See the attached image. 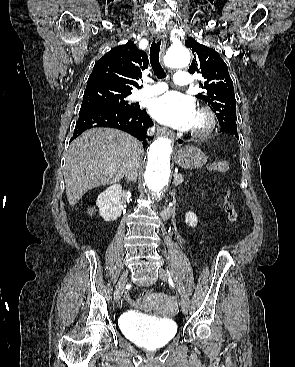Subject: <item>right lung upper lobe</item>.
Here are the masks:
<instances>
[{
    "label": "right lung upper lobe",
    "mask_w": 295,
    "mask_h": 367,
    "mask_svg": "<svg viewBox=\"0 0 295 367\" xmlns=\"http://www.w3.org/2000/svg\"><path fill=\"white\" fill-rule=\"evenodd\" d=\"M148 67L147 54L129 41L106 53L94 66L87 87H101L122 95L131 94L136 80L142 76L141 69Z\"/></svg>",
    "instance_id": "right-lung-upper-lobe-1"
}]
</instances>
